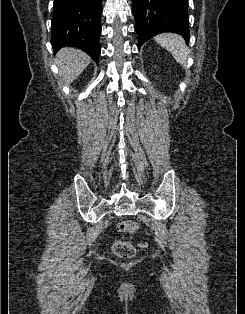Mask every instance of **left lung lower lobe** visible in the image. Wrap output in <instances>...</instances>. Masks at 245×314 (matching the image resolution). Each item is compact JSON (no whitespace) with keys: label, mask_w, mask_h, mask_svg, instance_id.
<instances>
[{"label":"left lung lower lobe","mask_w":245,"mask_h":314,"mask_svg":"<svg viewBox=\"0 0 245 314\" xmlns=\"http://www.w3.org/2000/svg\"><path fill=\"white\" fill-rule=\"evenodd\" d=\"M138 47L163 32L180 34L189 41L188 0H133Z\"/></svg>","instance_id":"obj_1"}]
</instances>
